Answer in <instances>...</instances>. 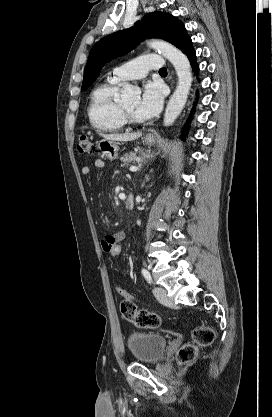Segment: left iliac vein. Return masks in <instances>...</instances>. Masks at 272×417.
<instances>
[{
  "mask_svg": "<svg viewBox=\"0 0 272 417\" xmlns=\"http://www.w3.org/2000/svg\"><path fill=\"white\" fill-rule=\"evenodd\" d=\"M153 294L156 299L162 304H169L170 298L167 295V291L163 287H155L153 289Z\"/></svg>",
  "mask_w": 272,
  "mask_h": 417,
  "instance_id": "left-iliac-vein-1",
  "label": "left iliac vein"
}]
</instances>
